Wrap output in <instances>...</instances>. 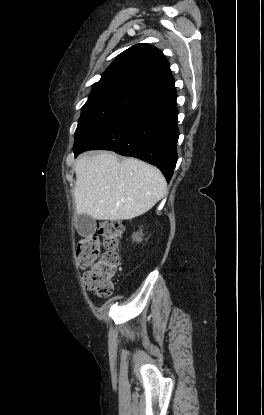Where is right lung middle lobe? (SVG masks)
I'll return each mask as SVG.
<instances>
[{
  "label": "right lung middle lobe",
  "mask_w": 264,
  "mask_h": 415,
  "mask_svg": "<svg viewBox=\"0 0 264 415\" xmlns=\"http://www.w3.org/2000/svg\"><path fill=\"white\" fill-rule=\"evenodd\" d=\"M140 101H142L141 98L124 93L89 96L82 107L73 149L85 146L93 137Z\"/></svg>",
  "instance_id": "1"
}]
</instances>
